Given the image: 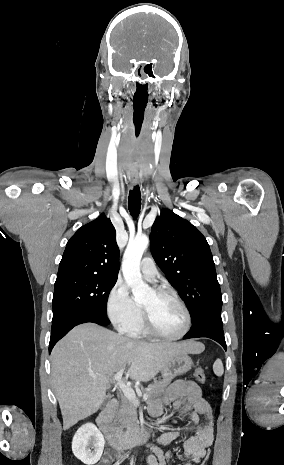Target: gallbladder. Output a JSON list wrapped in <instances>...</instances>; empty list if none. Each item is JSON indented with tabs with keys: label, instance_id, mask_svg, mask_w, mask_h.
<instances>
[{
	"label": "gallbladder",
	"instance_id": "bac80fb5",
	"mask_svg": "<svg viewBox=\"0 0 284 465\" xmlns=\"http://www.w3.org/2000/svg\"><path fill=\"white\" fill-rule=\"evenodd\" d=\"M110 399H105L102 403V407H106L107 403H109Z\"/></svg>",
	"mask_w": 284,
	"mask_h": 465
}]
</instances>
